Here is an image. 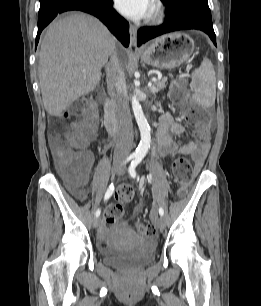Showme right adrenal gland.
<instances>
[{
  "mask_svg": "<svg viewBox=\"0 0 261 306\" xmlns=\"http://www.w3.org/2000/svg\"><path fill=\"white\" fill-rule=\"evenodd\" d=\"M110 72H111V69H110L109 65L107 64L105 66V73L103 74V77H104V75L109 76Z\"/></svg>",
  "mask_w": 261,
  "mask_h": 306,
  "instance_id": "2a0ac1e0",
  "label": "right adrenal gland"
}]
</instances>
